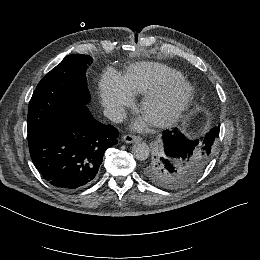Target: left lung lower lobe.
<instances>
[{"instance_id":"left-lung-lower-lobe-1","label":"left lung lower lobe","mask_w":260,"mask_h":260,"mask_svg":"<svg viewBox=\"0 0 260 260\" xmlns=\"http://www.w3.org/2000/svg\"><path fill=\"white\" fill-rule=\"evenodd\" d=\"M220 125L211 129L203 141L187 139L177 128L163 131L162 143L164 152L169 159L186 157L196 151L211 152L219 136Z\"/></svg>"}]
</instances>
